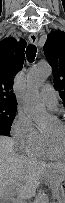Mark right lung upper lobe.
<instances>
[{"mask_svg": "<svg viewBox=\"0 0 65 203\" xmlns=\"http://www.w3.org/2000/svg\"><path fill=\"white\" fill-rule=\"evenodd\" d=\"M26 42L13 38L0 42V103L17 104L13 93V79L23 67Z\"/></svg>", "mask_w": 65, "mask_h": 203, "instance_id": "1", "label": "right lung upper lobe"}]
</instances>
